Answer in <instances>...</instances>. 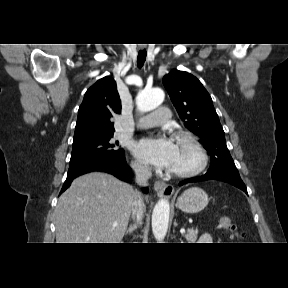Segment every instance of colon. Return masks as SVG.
I'll list each match as a JSON object with an SVG mask.
<instances>
[{
	"mask_svg": "<svg viewBox=\"0 0 288 288\" xmlns=\"http://www.w3.org/2000/svg\"><path fill=\"white\" fill-rule=\"evenodd\" d=\"M220 228L236 234V227L228 216H221L219 219Z\"/></svg>",
	"mask_w": 288,
	"mask_h": 288,
	"instance_id": "5ec220e1",
	"label": "colon"
}]
</instances>
